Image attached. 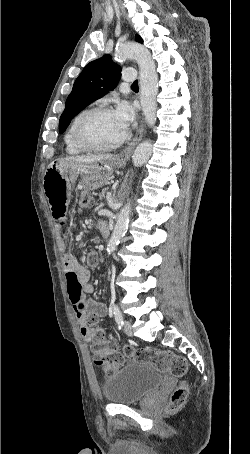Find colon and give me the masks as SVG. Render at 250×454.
<instances>
[{
    "label": "colon",
    "instance_id": "1",
    "mask_svg": "<svg viewBox=\"0 0 250 454\" xmlns=\"http://www.w3.org/2000/svg\"><path fill=\"white\" fill-rule=\"evenodd\" d=\"M92 202L90 194L81 193L78 201V210L80 212L88 210ZM96 321L94 320L92 323ZM91 342L95 363L107 374H112L123 366L126 356L131 357L136 362L149 364L158 372L168 373L175 377H184L188 371L186 360L170 351L127 347L124 354L117 352L113 345L107 342L104 331L99 327H93ZM188 393V385L186 382H181L171 394L170 407L172 409L181 407L186 401Z\"/></svg>",
    "mask_w": 250,
    "mask_h": 454
}]
</instances>
